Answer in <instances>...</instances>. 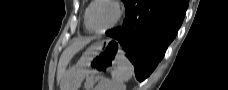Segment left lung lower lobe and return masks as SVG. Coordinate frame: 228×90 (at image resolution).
<instances>
[{"mask_svg":"<svg viewBox=\"0 0 228 90\" xmlns=\"http://www.w3.org/2000/svg\"><path fill=\"white\" fill-rule=\"evenodd\" d=\"M187 0H128L123 25L106 32L118 40L143 81L162 59L184 19Z\"/></svg>","mask_w":228,"mask_h":90,"instance_id":"1","label":"left lung lower lobe"}]
</instances>
